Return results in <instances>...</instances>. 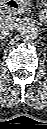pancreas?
<instances>
[{
	"instance_id": "cf45deb5",
	"label": "pancreas",
	"mask_w": 47,
	"mask_h": 129,
	"mask_svg": "<svg viewBox=\"0 0 47 129\" xmlns=\"http://www.w3.org/2000/svg\"><path fill=\"white\" fill-rule=\"evenodd\" d=\"M20 2H21V4H22L23 6H25V7L28 5V3H27L26 0H20Z\"/></svg>"
}]
</instances>
